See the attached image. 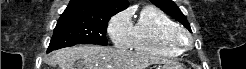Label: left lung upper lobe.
Listing matches in <instances>:
<instances>
[{
	"label": "left lung upper lobe",
	"instance_id": "1",
	"mask_svg": "<svg viewBox=\"0 0 246 69\" xmlns=\"http://www.w3.org/2000/svg\"><path fill=\"white\" fill-rule=\"evenodd\" d=\"M154 5L160 8L162 11L173 17L175 20L182 23L189 31L190 24L188 23L186 17L182 14L180 9L172 0H150Z\"/></svg>",
	"mask_w": 246,
	"mask_h": 69
}]
</instances>
